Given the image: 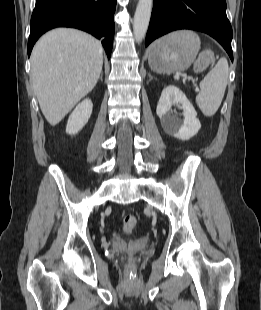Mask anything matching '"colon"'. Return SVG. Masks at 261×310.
I'll list each match as a JSON object with an SVG mask.
<instances>
[{
    "label": "colon",
    "mask_w": 261,
    "mask_h": 310,
    "mask_svg": "<svg viewBox=\"0 0 261 310\" xmlns=\"http://www.w3.org/2000/svg\"><path fill=\"white\" fill-rule=\"evenodd\" d=\"M214 62V54L211 50L202 51L195 64L194 69L197 72L207 70ZM137 226V218L134 215L128 214L123 217V230L126 233H131Z\"/></svg>",
    "instance_id": "1"
}]
</instances>
